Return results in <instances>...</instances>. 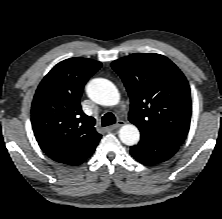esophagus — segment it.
<instances>
[{
	"label": "esophagus",
	"mask_w": 222,
	"mask_h": 219,
	"mask_svg": "<svg viewBox=\"0 0 222 219\" xmlns=\"http://www.w3.org/2000/svg\"><path fill=\"white\" fill-rule=\"evenodd\" d=\"M124 123H125L124 121L119 120L116 124L112 125L111 129H117V128L123 126Z\"/></svg>",
	"instance_id": "esophagus-1"
}]
</instances>
